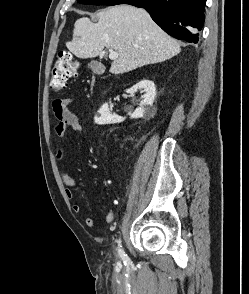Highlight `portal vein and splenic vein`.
I'll return each instance as SVG.
<instances>
[{
  "label": "portal vein and splenic vein",
  "mask_w": 249,
  "mask_h": 294,
  "mask_svg": "<svg viewBox=\"0 0 249 294\" xmlns=\"http://www.w3.org/2000/svg\"><path fill=\"white\" fill-rule=\"evenodd\" d=\"M118 56H119L118 52L114 51L113 49H110V50H109V58H110L111 60H115V59H117Z\"/></svg>",
  "instance_id": "18ae733b"
}]
</instances>
